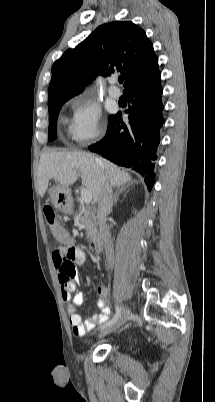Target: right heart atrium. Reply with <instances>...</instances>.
Segmentation results:
<instances>
[{
	"instance_id": "obj_1",
	"label": "right heart atrium",
	"mask_w": 215,
	"mask_h": 402,
	"mask_svg": "<svg viewBox=\"0 0 215 402\" xmlns=\"http://www.w3.org/2000/svg\"><path fill=\"white\" fill-rule=\"evenodd\" d=\"M72 117L68 134L78 145H86L101 134L102 111L92 100L78 97L71 101Z\"/></svg>"
}]
</instances>
